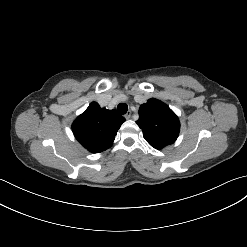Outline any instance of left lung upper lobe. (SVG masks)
<instances>
[{"label": "left lung upper lobe", "instance_id": "obj_1", "mask_svg": "<svg viewBox=\"0 0 247 247\" xmlns=\"http://www.w3.org/2000/svg\"><path fill=\"white\" fill-rule=\"evenodd\" d=\"M138 126L143 137L155 149L174 143L179 135L180 122L165 103L151 98L139 108Z\"/></svg>", "mask_w": 247, "mask_h": 247}]
</instances>
